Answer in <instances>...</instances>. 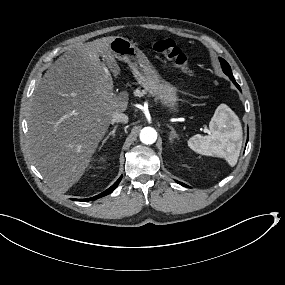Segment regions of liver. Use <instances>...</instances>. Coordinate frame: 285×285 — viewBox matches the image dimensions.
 Segmentation results:
<instances>
[{
    "label": "liver",
    "instance_id": "obj_1",
    "mask_svg": "<svg viewBox=\"0 0 285 285\" xmlns=\"http://www.w3.org/2000/svg\"><path fill=\"white\" fill-rule=\"evenodd\" d=\"M114 39L76 45L36 84L27 119L29 153L48 185L60 193L83 177L112 115L128 108L129 93H114L112 74L121 73L110 49Z\"/></svg>",
    "mask_w": 285,
    "mask_h": 285
}]
</instances>
